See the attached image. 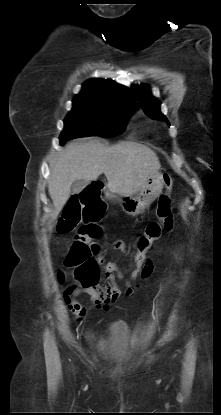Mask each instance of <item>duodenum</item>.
<instances>
[{"instance_id": "duodenum-1", "label": "duodenum", "mask_w": 221, "mask_h": 415, "mask_svg": "<svg viewBox=\"0 0 221 415\" xmlns=\"http://www.w3.org/2000/svg\"><path fill=\"white\" fill-rule=\"evenodd\" d=\"M95 185L98 188H102L103 187V183L101 181H96Z\"/></svg>"}]
</instances>
